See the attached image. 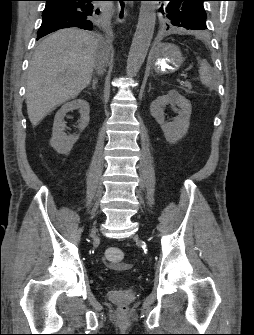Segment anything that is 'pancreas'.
Instances as JSON below:
<instances>
[{
  "label": "pancreas",
  "instance_id": "pancreas-1",
  "mask_svg": "<svg viewBox=\"0 0 254 335\" xmlns=\"http://www.w3.org/2000/svg\"><path fill=\"white\" fill-rule=\"evenodd\" d=\"M183 86L186 87V88H184V90H185L187 93H191V88H192V86H191V83H190V82H188V81L184 82V83H183Z\"/></svg>",
  "mask_w": 254,
  "mask_h": 335
}]
</instances>
